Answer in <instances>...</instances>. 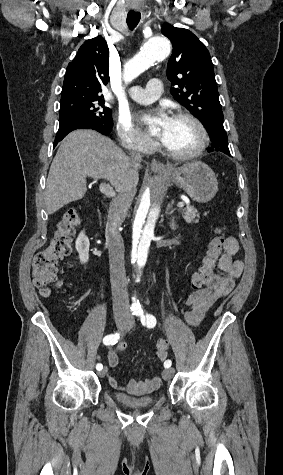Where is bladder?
I'll use <instances>...</instances> for the list:
<instances>
[{
  "mask_svg": "<svg viewBox=\"0 0 283 475\" xmlns=\"http://www.w3.org/2000/svg\"><path fill=\"white\" fill-rule=\"evenodd\" d=\"M112 397L114 401L120 403L124 408L127 409L150 408L156 403L157 400V397L155 395L136 398L121 391H115L112 394Z\"/></svg>",
  "mask_w": 283,
  "mask_h": 475,
  "instance_id": "1",
  "label": "bladder"
}]
</instances>
